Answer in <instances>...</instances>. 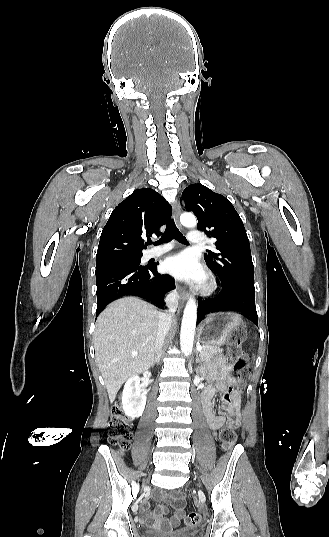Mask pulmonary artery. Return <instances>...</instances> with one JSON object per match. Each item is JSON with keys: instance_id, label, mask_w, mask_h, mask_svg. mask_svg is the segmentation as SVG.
<instances>
[{"instance_id": "1", "label": "pulmonary artery", "mask_w": 329, "mask_h": 537, "mask_svg": "<svg viewBox=\"0 0 329 537\" xmlns=\"http://www.w3.org/2000/svg\"><path fill=\"white\" fill-rule=\"evenodd\" d=\"M188 241L193 245H199L203 242V235L199 231H190L188 234ZM172 248L171 244H167L161 247L154 248L150 251V256L155 257L163 254L164 252Z\"/></svg>"}]
</instances>
